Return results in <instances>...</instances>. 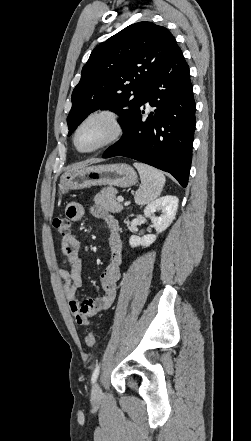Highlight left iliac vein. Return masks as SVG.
<instances>
[{
    "label": "left iliac vein",
    "instance_id": "left-iliac-vein-1",
    "mask_svg": "<svg viewBox=\"0 0 251 441\" xmlns=\"http://www.w3.org/2000/svg\"><path fill=\"white\" fill-rule=\"evenodd\" d=\"M102 391L98 382H96L92 387V396L95 398L100 397Z\"/></svg>",
    "mask_w": 251,
    "mask_h": 441
}]
</instances>
